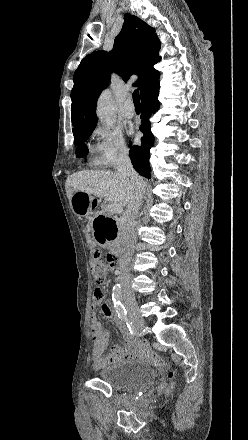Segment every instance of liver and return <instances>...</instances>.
Segmentation results:
<instances>
[{
  "instance_id": "obj_1",
  "label": "liver",
  "mask_w": 248,
  "mask_h": 440,
  "mask_svg": "<svg viewBox=\"0 0 248 440\" xmlns=\"http://www.w3.org/2000/svg\"><path fill=\"white\" fill-rule=\"evenodd\" d=\"M144 182V181H143ZM67 197L73 192H86L107 201L127 206L135 197L136 186L125 176L113 171H79L67 177L65 183Z\"/></svg>"
}]
</instances>
